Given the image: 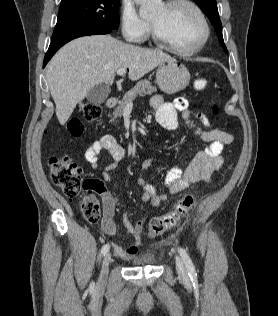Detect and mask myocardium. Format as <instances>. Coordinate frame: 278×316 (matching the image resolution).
Returning a JSON list of instances; mask_svg holds the SVG:
<instances>
[{
  "mask_svg": "<svg viewBox=\"0 0 278 316\" xmlns=\"http://www.w3.org/2000/svg\"><path fill=\"white\" fill-rule=\"evenodd\" d=\"M179 5H187L191 7L198 15L204 29L203 38L200 41V43L197 46L190 49L181 48L175 45L173 42H171L168 38H166L152 22L150 23L151 36L155 43L177 54L185 56L194 55L199 53L208 43L211 34L210 25L204 11L193 0H167L164 4V6L168 9L174 8Z\"/></svg>",
  "mask_w": 278,
  "mask_h": 316,
  "instance_id": "f54148a6",
  "label": "myocardium"
}]
</instances>
